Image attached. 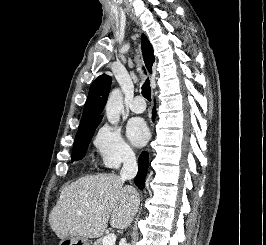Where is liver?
Instances as JSON below:
<instances>
[{"instance_id":"1","label":"liver","mask_w":266,"mask_h":245,"mask_svg":"<svg viewBox=\"0 0 266 245\" xmlns=\"http://www.w3.org/2000/svg\"><path fill=\"white\" fill-rule=\"evenodd\" d=\"M123 183L117 175L101 173L65 185L49 215L52 231L59 239H98L110 215L113 229H127L138 213L140 197L134 187H123Z\"/></svg>"}]
</instances>
